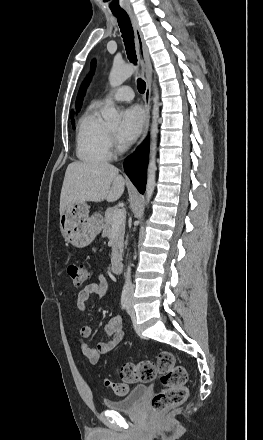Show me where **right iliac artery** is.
Masks as SVG:
<instances>
[{
  "instance_id": "1",
  "label": "right iliac artery",
  "mask_w": 263,
  "mask_h": 440,
  "mask_svg": "<svg viewBox=\"0 0 263 440\" xmlns=\"http://www.w3.org/2000/svg\"><path fill=\"white\" fill-rule=\"evenodd\" d=\"M128 306V290L123 289L122 295H121V307L123 310L127 309Z\"/></svg>"
}]
</instances>
